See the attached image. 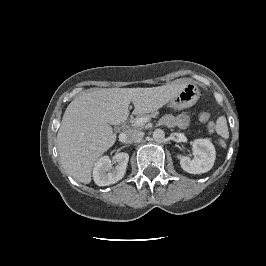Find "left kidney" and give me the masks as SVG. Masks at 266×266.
<instances>
[{
	"mask_svg": "<svg viewBox=\"0 0 266 266\" xmlns=\"http://www.w3.org/2000/svg\"><path fill=\"white\" fill-rule=\"evenodd\" d=\"M192 146L194 156L192 160L187 156L178 155L182 169L191 174L208 172L216 158L214 145L208 139H196Z\"/></svg>",
	"mask_w": 266,
	"mask_h": 266,
	"instance_id": "obj_1",
	"label": "left kidney"
}]
</instances>
